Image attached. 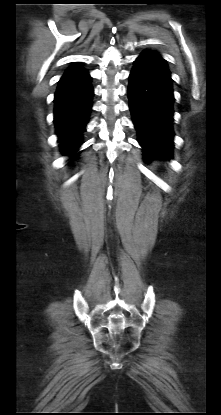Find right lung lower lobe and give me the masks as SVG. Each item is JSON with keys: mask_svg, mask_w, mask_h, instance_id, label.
<instances>
[{"mask_svg": "<svg viewBox=\"0 0 221 415\" xmlns=\"http://www.w3.org/2000/svg\"><path fill=\"white\" fill-rule=\"evenodd\" d=\"M91 77L74 64L66 70L55 93L54 124L61 152L75 158L92 108Z\"/></svg>", "mask_w": 221, "mask_h": 415, "instance_id": "1", "label": "right lung lower lobe"}]
</instances>
